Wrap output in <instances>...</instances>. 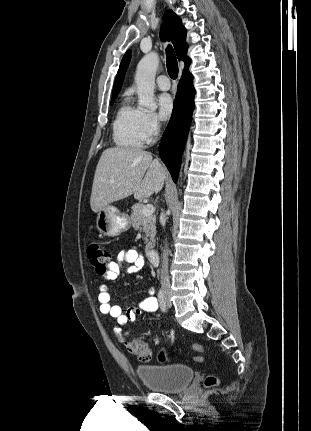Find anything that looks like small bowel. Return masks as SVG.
<instances>
[{
	"instance_id": "small-bowel-1",
	"label": "small bowel",
	"mask_w": 311,
	"mask_h": 431,
	"mask_svg": "<svg viewBox=\"0 0 311 431\" xmlns=\"http://www.w3.org/2000/svg\"><path fill=\"white\" fill-rule=\"evenodd\" d=\"M144 266V259L136 248L120 251L116 253L113 259L108 263L105 277L109 280L116 279L121 273L134 274L140 271ZM98 303L100 312L116 319V331L121 340H125L128 332L121 333L120 327L133 322L137 316L144 313L153 314L159 308V300L154 296V287H149L147 296L135 307L123 312L119 305L111 302V295L106 285L100 287L98 294Z\"/></svg>"
}]
</instances>
